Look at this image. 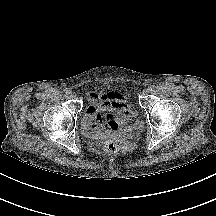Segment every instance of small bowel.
Listing matches in <instances>:
<instances>
[{"label":"small bowel","mask_w":216,"mask_h":216,"mask_svg":"<svg viewBox=\"0 0 216 216\" xmlns=\"http://www.w3.org/2000/svg\"><path fill=\"white\" fill-rule=\"evenodd\" d=\"M88 102L83 126L91 135L102 136L107 131H113L118 127L119 118L131 115L125 96L113 89L90 92Z\"/></svg>","instance_id":"1"}]
</instances>
